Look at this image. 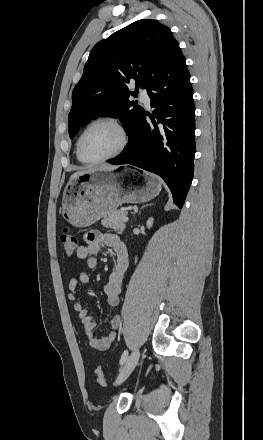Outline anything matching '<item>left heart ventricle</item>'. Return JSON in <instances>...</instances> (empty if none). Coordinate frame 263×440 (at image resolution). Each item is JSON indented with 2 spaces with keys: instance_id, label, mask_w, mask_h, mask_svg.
Returning <instances> with one entry per match:
<instances>
[{
  "instance_id": "obj_1",
  "label": "left heart ventricle",
  "mask_w": 263,
  "mask_h": 440,
  "mask_svg": "<svg viewBox=\"0 0 263 440\" xmlns=\"http://www.w3.org/2000/svg\"><path fill=\"white\" fill-rule=\"evenodd\" d=\"M120 141V133L112 124H97L87 132L83 139V156L90 160L106 157L118 148Z\"/></svg>"
}]
</instances>
